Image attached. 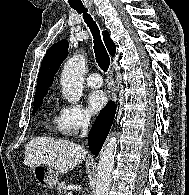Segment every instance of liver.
I'll use <instances>...</instances> for the list:
<instances>
[{"label":"liver","instance_id":"obj_1","mask_svg":"<svg viewBox=\"0 0 189 195\" xmlns=\"http://www.w3.org/2000/svg\"><path fill=\"white\" fill-rule=\"evenodd\" d=\"M24 155V164L31 168L47 164L63 174L85 159L89 161L86 150L79 144L49 137L30 140L25 146Z\"/></svg>","mask_w":189,"mask_h":195}]
</instances>
